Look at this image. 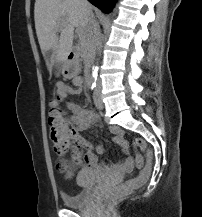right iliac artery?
Returning <instances> with one entry per match:
<instances>
[{"label": "right iliac artery", "instance_id": "right-iliac-artery-1", "mask_svg": "<svg viewBox=\"0 0 202 217\" xmlns=\"http://www.w3.org/2000/svg\"><path fill=\"white\" fill-rule=\"evenodd\" d=\"M90 88L93 90V89H95V87H96V82H92V83H90Z\"/></svg>", "mask_w": 202, "mask_h": 217}]
</instances>
